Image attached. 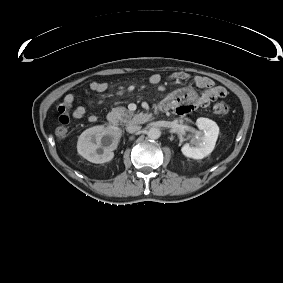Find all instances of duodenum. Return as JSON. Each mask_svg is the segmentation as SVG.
<instances>
[{
    "label": "duodenum",
    "instance_id": "duodenum-1",
    "mask_svg": "<svg viewBox=\"0 0 283 283\" xmlns=\"http://www.w3.org/2000/svg\"><path fill=\"white\" fill-rule=\"evenodd\" d=\"M161 107H163V106L161 105ZM107 122H108V124L110 126L115 127L117 125V123H118V120H117V118L115 116L109 115L107 117Z\"/></svg>",
    "mask_w": 283,
    "mask_h": 283
}]
</instances>
